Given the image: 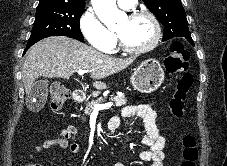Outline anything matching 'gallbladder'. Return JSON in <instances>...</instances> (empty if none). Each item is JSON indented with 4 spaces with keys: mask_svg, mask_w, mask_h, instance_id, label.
Here are the masks:
<instances>
[{
    "mask_svg": "<svg viewBox=\"0 0 227 166\" xmlns=\"http://www.w3.org/2000/svg\"><path fill=\"white\" fill-rule=\"evenodd\" d=\"M48 94V80L42 79L34 82L30 93L27 96L26 105L32 111L43 108Z\"/></svg>",
    "mask_w": 227,
    "mask_h": 166,
    "instance_id": "1",
    "label": "gallbladder"
}]
</instances>
